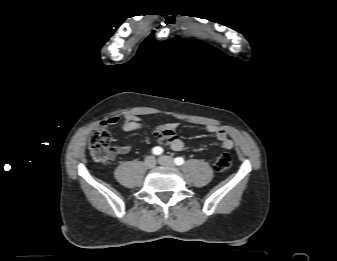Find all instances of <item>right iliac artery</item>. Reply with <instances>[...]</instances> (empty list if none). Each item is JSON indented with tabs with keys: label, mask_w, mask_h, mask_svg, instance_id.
I'll return each instance as SVG.
<instances>
[{
	"label": "right iliac artery",
	"mask_w": 337,
	"mask_h": 261,
	"mask_svg": "<svg viewBox=\"0 0 337 261\" xmlns=\"http://www.w3.org/2000/svg\"><path fill=\"white\" fill-rule=\"evenodd\" d=\"M152 153H153L154 155H160V154L163 153V149H162L161 147H159V146H156V147H154V148L152 149Z\"/></svg>",
	"instance_id": "right-iliac-artery-1"
}]
</instances>
